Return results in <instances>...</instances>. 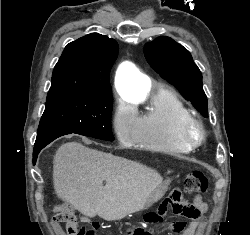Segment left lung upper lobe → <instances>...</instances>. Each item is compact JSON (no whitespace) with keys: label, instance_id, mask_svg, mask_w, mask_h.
Returning a JSON list of instances; mask_svg holds the SVG:
<instances>
[{"label":"left lung upper lobe","instance_id":"1","mask_svg":"<svg viewBox=\"0 0 250 235\" xmlns=\"http://www.w3.org/2000/svg\"><path fill=\"white\" fill-rule=\"evenodd\" d=\"M145 57L152 68L203 115H207V97L202 74L188 50L170 37H158L145 45Z\"/></svg>","mask_w":250,"mask_h":235}]
</instances>
